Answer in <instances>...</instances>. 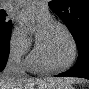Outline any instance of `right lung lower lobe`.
I'll use <instances>...</instances> for the list:
<instances>
[{"label":"right lung lower lobe","mask_w":89,"mask_h":89,"mask_svg":"<svg viewBox=\"0 0 89 89\" xmlns=\"http://www.w3.org/2000/svg\"><path fill=\"white\" fill-rule=\"evenodd\" d=\"M11 29L0 37V71H2L7 63L10 50Z\"/></svg>","instance_id":"obj_1"}]
</instances>
